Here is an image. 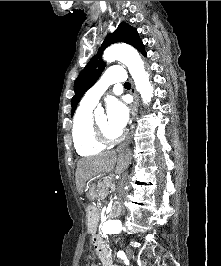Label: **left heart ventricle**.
I'll return each instance as SVG.
<instances>
[{"label":"left heart ventricle","instance_id":"left-heart-ventricle-1","mask_svg":"<svg viewBox=\"0 0 221 266\" xmlns=\"http://www.w3.org/2000/svg\"><path fill=\"white\" fill-rule=\"evenodd\" d=\"M96 120L100 127L110 136H115L118 134L120 131L115 130L112 128L108 122V118L106 114H100L96 117Z\"/></svg>","mask_w":221,"mask_h":266}]
</instances>
